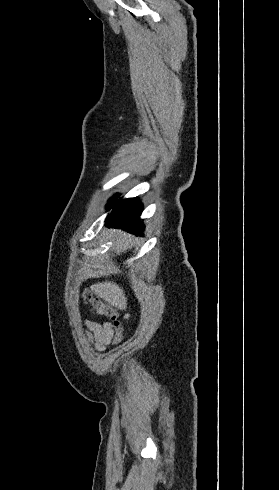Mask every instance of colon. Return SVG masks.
Segmentation results:
<instances>
[{"label": "colon", "mask_w": 279, "mask_h": 490, "mask_svg": "<svg viewBox=\"0 0 279 490\" xmlns=\"http://www.w3.org/2000/svg\"><path fill=\"white\" fill-rule=\"evenodd\" d=\"M85 297L87 302L92 306V312L97 316H104L113 321L115 323V334L116 336L120 335L122 333L120 312L114 306L103 301L101 298L91 292H87Z\"/></svg>", "instance_id": "1"}]
</instances>
